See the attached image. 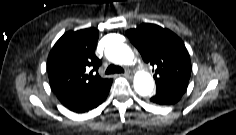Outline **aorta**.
Wrapping results in <instances>:
<instances>
[{
	"label": "aorta",
	"mask_w": 236,
	"mask_h": 135,
	"mask_svg": "<svg viewBox=\"0 0 236 135\" xmlns=\"http://www.w3.org/2000/svg\"><path fill=\"white\" fill-rule=\"evenodd\" d=\"M105 54L109 61L121 65H131L135 58L130 47L121 42L110 43ZM133 85L139 95L148 96L153 92L154 80L148 72L139 71L134 76Z\"/></svg>",
	"instance_id": "1"
}]
</instances>
